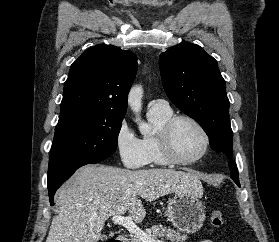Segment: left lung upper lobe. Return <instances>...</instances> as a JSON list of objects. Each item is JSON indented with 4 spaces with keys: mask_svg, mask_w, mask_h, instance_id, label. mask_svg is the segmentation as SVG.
<instances>
[{
    "mask_svg": "<svg viewBox=\"0 0 279 242\" xmlns=\"http://www.w3.org/2000/svg\"><path fill=\"white\" fill-rule=\"evenodd\" d=\"M159 65L172 103L202 126L213 150L232 158L229 100L217 61L200 46L185 43L161 53ZM229 168L231 178L240 186L236 163L231 160Z\"/></svg>",
    "mask_w": 279,
    "mask_h": 242,
    "instance_id": "1",
    "label": "left lung upper lobe"
}]
</instances>
